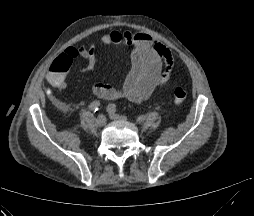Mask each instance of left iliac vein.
Returning a JSON list of instances; mask_svg holds the SVG:
<instances>
[{
    "label": "left iliac vein",
    "instance_id": "1",
    "mask_svg": "<svg viewBox=\"0 0 254 216\" xmlns=\"http://www.w3.org/2000/svg\"><path fill=\"white\" fill-rule=\"evenodd\" d=\"M109 117L112 120H126L125 117L116 114L115 112H109Z\"/></svg>",
    "mask_w": 254,
    "mask_h": 216
}]
</instances>
